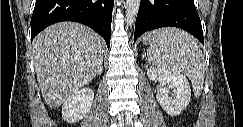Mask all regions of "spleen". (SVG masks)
Wrapping results in <instances>:
<instances>
[{"label":"spleen","instance_id":"1","mask_svg":"<svg viewBox=\"0 0 243 127\" xmlns=\"http://www.w3.org/2000/svg\"><path fill=\"white\" fill-rule=\"evenodd\" d=\"M148 61L156 68L186 74L196 96L201 94L205 78L204 57L197 41L177 28H164L147 34L143 40Z\"/></svg>","mask_w":243,"mask_h":127}]
</instances>
